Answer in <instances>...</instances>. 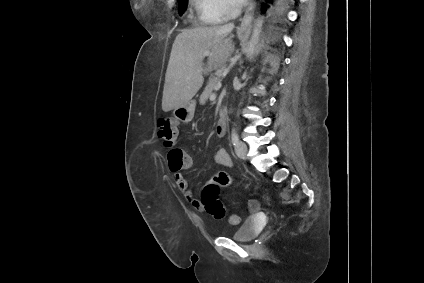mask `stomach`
I'll return each instance as SVG.
<instances>
[{
    "instance_id": "stomach-1",
    "label": "stomach",
    "mask_w": 424,
    "mask_h": 283,
    "mask_svg": "<svg viewBox=\"0 0 424 283\" xmlns=\"http://www.w3.org/2000/svg\"><path fill=\"white\" fill-rule=\"evenodd\" d=\"M239 34H243V32H239ZM194 112L195 103L191 101L187 104L175 108L173 114L177 120L183 123H189L194 117Z\"/></svg>"
}]
</instances>
